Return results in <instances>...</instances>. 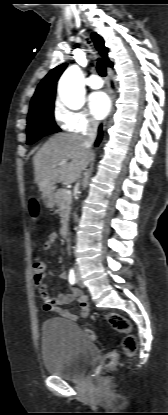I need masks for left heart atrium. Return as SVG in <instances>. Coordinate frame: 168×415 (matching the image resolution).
Instances as JSON below:
<instances>
[{
	"label": "left heart atrium",
	"mask_w": 168,
	"mask_h": 415,
	"mask_svg": "<svg viewBox=\"0 0 168 415\" xmlns=\"http://www.w3.org/2000/svg\"><path fill=\"white\" fill-rule=\"evenodd\" d=\"M89 107L92 115L100 120L110 111V100L104 92H95L89 98Z\"/></svg>",
	"instance_id": "1"
}]
</instances>
